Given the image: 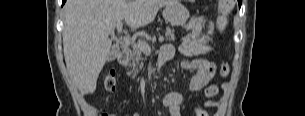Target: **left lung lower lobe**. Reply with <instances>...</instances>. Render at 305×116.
Masks as SVG:
<instances>
[{"mask_svg": "<svg viewBox=\"0 0 305 116\" xmlns=\"http://www.w3.org/2000/svg\"><path fill=\"white\" fill-rule=\"evenodd\" d=\"M238 2H239V5H241V0H239Z\"/></svg>", "mask_w": 305, "mask_h": 116, "instance_id": "0a47b994", "label": "left lung lower lobe"}]
</instances>
